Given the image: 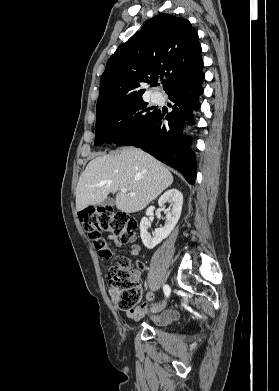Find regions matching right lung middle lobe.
<instances>
[{"instance_id": "right-lung-middle-lobe-1", "label": "right lung middle lobe", "mask_w": 279, "mask_h": 391, "mask_svg": "<svg viewBox=\"0 0 279 391\" xmlns=\"http://www.w3.org/2000/svg\"><path fill=\"white\" fill-rule=\"evenodd\" d=\"M143 100L134 101L96 114L95 145L117 140L156 113Z\"/></svg>"}]
</instances>
